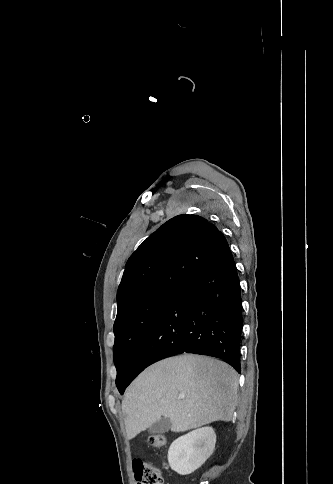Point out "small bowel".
<instances>
[{
  "label": "small bowel",
  "instance_id": "small-bowel-1",
  "mask_svg": "<svg viewBox=\"0 0 333 484\" xmlns=\"http://www.w3.org/2000/svg\"><path fill=\"white\" fill-rule=\"evenodd\" d=\"M141 463H142V460H140V459H134L133 460L132 467H133L135 477H137V473H138V470H139Z\"/></svg>",
  "mask_w": 333,
  "mask_h": 484
}]
</instances>
